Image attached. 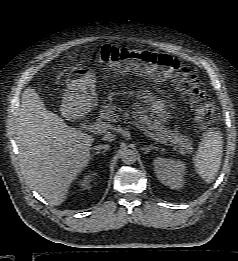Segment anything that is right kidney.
Returning <instances> with one entry per match:
<instances>
[{
	"label": "right kidney",
	"instance_id": "1",
	"mask_svg": "<svg viewBox=\"0 0 238 261\" xmlns=\"http://www.w3.org/2000/svg\"><path fill=\"white\" fill-rule=\"evenodd\" d=\"M94 175H96V174L92 173V174H88V175L84 176L80 182L81 186L87 187L88 184L90 183L91 179L94 177Z\"/></svg>",
	"mask_w": 238,
	"mask_h": 261
}]
</instances>
